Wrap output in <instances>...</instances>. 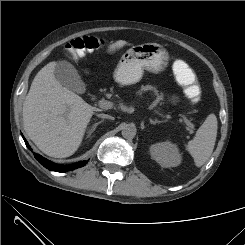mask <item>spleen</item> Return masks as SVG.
I'll use <instances>...</instances> for the list:
<instances>
[{"instance_id":"obj_1","label":"spleen","mask_w":245,"mask_h":245,"mask_svg":"<svg viewBox=\"0 0 245 245\" xmlns=\"http://www.w3.org/2000/svg\"><path fill=\"white\" fill-rule=\"evenodd\" d=\"M217 124L216 116L214 114L208 115L193 140L186 145V150L193 157L197 167L204 165L213 152L217 137Z\"/></svg>"}]
</instances>
